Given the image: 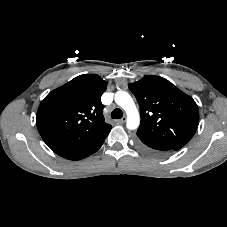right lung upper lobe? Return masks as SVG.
I'll return each mask as SVG.
<instances>
[{"instance_id": "1", "label": "right lung upper lobe", "mask_w": 227, "mask_h": 227, "mask_svg": "<svg viewBox=\"0 0 227 227\" xmlns=\"http://www.w3.org/2000/svg\"><path fill=\"white\" fill-rule=\"evenodd\" d=\"M107 82L97 74L80 75L51 91L36 116L44 142L59 156L77 160L96 152L111 130L101 95Z\"/></svg>"}]
</instances>
